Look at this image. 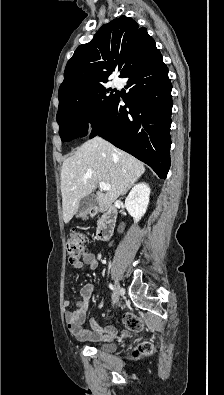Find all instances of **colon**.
<instances>
[{
  "label": "colon",
  "instance_id": "1",
  "mask_svg": "<svg viewBox=\"0 0 224 395\" xmlns=\"http://www.w3.org/2000/svg\"><path fill=\"white\" fill-rule=\"evenodd\" d=\"M65 250L68 260L71 264L80 262L86 250V236L81 231H73L65 242ZM123 323L126 328L131 331L138 332L142 329V321L139 317L133 314H126L123 318ZM141 352L150 354L152 352V345L145 343L141 347Z\"/></svg>",
  "mask_w": 224,
  "mask_h": 395
}]
</instances>
